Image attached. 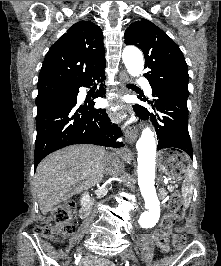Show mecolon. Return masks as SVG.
Segmentation results:
<instances>
[{
	"instance_id": "1",
	"label": "colon",
	"mask_w": 221,
	"mask_h": 266,
	"mask_svg": "<svg viewBox=\"0 0 221 266\" xmlns=\"http://www.w3.org/2000/svg\"><path fill=\"white\" fill-rule=\"evenodd\" d=\"M75 202L67 200L60 203L53 210L55 225L36 226L34 231L45 238L69 236L75 232L73 214ZM185 215V205L180 194H173L169 200V213L161 220L157 230L156 238L161 243H166L171 233L172 227L183 219ZM173 244L177 249H183L186 245V236L178 232L173 236Z\"/></svg>"
}]
</instances>
